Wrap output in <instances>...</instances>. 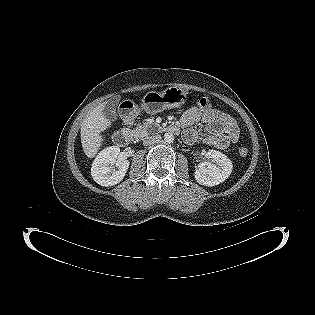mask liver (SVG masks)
Masks as SVG:
<instances>
[{
	"label": "liver",
	"mask_w": 315,
	"mask_h": 315,
	"mask_svg": "<svg viewBox=\"0 0 315 315\" xmlns=\"http://www.w3.org/2000/svg\"><path fill=\"white\" fill-rule=\"evenodd\" d=\"M105 105L102 103L89 111L81 124L82 148L88 158L97 154L103 142L101 133L111 126V121L103 114Z\"/></svg>",
	"instance_id": "6515ba94"
}]
</instances>
